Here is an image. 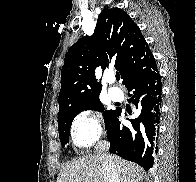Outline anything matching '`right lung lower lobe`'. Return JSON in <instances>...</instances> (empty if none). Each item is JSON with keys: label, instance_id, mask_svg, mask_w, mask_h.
I'll return each instance as SVG.
<instances>
[{"label": "right lung lower lobe", "instance_id": "1", "mask_svg": "<svg viewBox=\"0 0 196 182\" xmlns=\"http://www.w3.org/2000/svg\"><path fill=\"white\" fill-rule=\"evenodd\" d=\"M125 87L133 91L132 101L140 114L129 120L130 126H125L117 118L121 110H116L106 128L109 151L149 170L153 167V153L157 148L162 105V83L154 57L130 76Z\"/></svg>", "mask_w": 196, "mask_h": 182}]
</instances>
